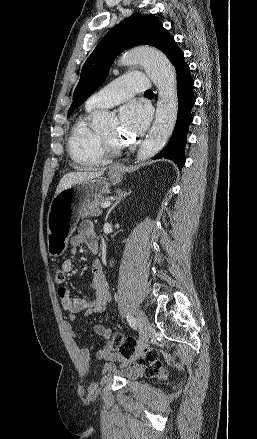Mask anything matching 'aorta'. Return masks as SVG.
<instances>
[{"label": "aorta", "mask_w": 257, "mask_h": 439, "mask_svg": "<svg viewBox=\"0 0 257 439\" xmlns=\"http://www.w3.org/2000/svg\"><path fill=\"white\" fill-rule=\"evenodd\" d=\"M141 64L158 91L155 121L146 140L137 152L138 160L155 156L167 143L175 127L178 113L176 72L169 59L161 51L151 47H141L126 52L120 60L122 65ZM114 116L105 111L92 114V128L106 131L113 123Z\"/></svg>", "instance_id": "762f6f07"}]
</instances>
